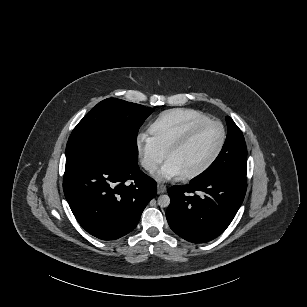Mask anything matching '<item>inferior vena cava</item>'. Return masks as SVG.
Returning a JSON list of instances; mask_svg holds the SVG:
<instances>
[{
    "label": "inferior vena cava",
    "mask_w": 307,
    "mask_h": 307,
    "mask_svg": "<svg viewBox=\"0 0 307 307\" xmlns=\"http://www.w3.org/2000/svg\"><path fill=\"white\" fill-rule=\"evenodd\" d=\"M141 165L145 170L149 171H155L157 168V165L155 163L149 162L147 160H142Z\"/></svg>",
    "instance_id": "obj_1"
}]
</instances>
